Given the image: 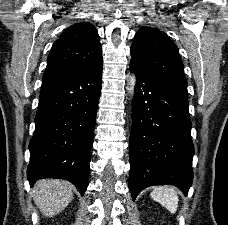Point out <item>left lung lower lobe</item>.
Returning a JSON list of instances; mask_svg holds the SVG:
<instances>
[{
	"instance_id": "0a47b994",
	"label": "left lung lower lobe",
	"mask_w": 228,
	"mask_h": 225,
	"mask_svg": "<svg viewBox=\"0 0 228 225\" xmlns=\"http://www.w3.org/2000/svg\"><path fill=\"white\" fill-rule=\"evenodd\" d=\"M137 76L132 104L129 189L172 184L187 194L193 181L187 85L153 78L130 63Z\"/></svg>"
}]
</instances>
